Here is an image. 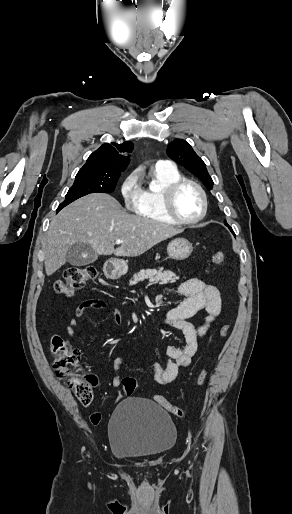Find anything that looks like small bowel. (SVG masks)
I'll return each instance as SVG.
<instances>
[{
  "label": "small bowel",
  "instance_id": "small-bowel-1",
  "mask_svg": "<svg viewBox=\"0 0 292 514\" xmlns=\"http://www.w3.org/2000/svg\"><path fill=\"white\" fill-rule=\"evenodd\" d=\"M175 290L178 294L184 296L185 299L167 310L165 324L172 329L181 331L185 337V344H172L166 347L168 360L165 366L158 362L150 364L154 381L161 386L175 382L179 371L190 365L192 357L197 352L199 340L206 334L210 325L217 319L222 310L220 291L214 285L201 279H186L180 282ZM106 308L107 303L101 298H91L82 301L77 306L74 317L65 328L66 336L73 337L76 335V328L79 325L80 319L87 312L102 311ZM201 309L206 311V316L200 325L196 326L187 321L188 317ZM121 318L122 313L117 311L115 313L116 323H119ZM122 363V357H117L114 360V370L116 373L120 370ZM112 385L114 387L121 385V378L118 374L113 378ZM115 396L118 402L123 400L122 392L117 391Z\"/></svg>",
  "mask_w": 292,
  "mask_h": 514
}]
</instances>
